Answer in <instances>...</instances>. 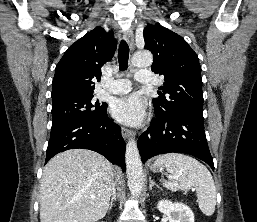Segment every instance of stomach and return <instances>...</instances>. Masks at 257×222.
I'll return each mask as SVG.
<instances>
[{"instance_id":"stomach-1","label":"stomach","mask_w":257,"mask_h":222,"mask_svg":"<svg viewBox=\"0 0 257 222\" xmlns=\"http://www.w3.org/2000/svg\"><path fill=\"white\" fill-rule=\"evenodd\" d=\"M151 170L156 171L158 168L162 169L161 166H157L155 163L151 165Z\"/></svg>"}]
</instances>
